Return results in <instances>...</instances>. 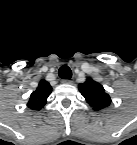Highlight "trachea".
Wrapping results in <instances>:
<instances>
[{
	"label": "trachea",
	"mask_w": 137,
	"mask_h": 145,
	"mask_svg": "<svg viewBox=\"0 0 137 145\" xmlns=\"http://www.w3.org/2000/svg\"><path fill=\"white\" fill-rule=\"evenodd\" d=\"M58 75L62 79H70L72 77V71L67 65H63L60 67Z\"/></svg>",
	"instance_id": "3493384b"
}]
</instances>
